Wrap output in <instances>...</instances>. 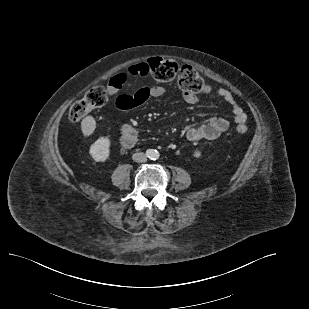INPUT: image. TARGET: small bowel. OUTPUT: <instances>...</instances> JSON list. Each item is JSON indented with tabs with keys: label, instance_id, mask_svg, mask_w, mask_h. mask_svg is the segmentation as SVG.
Listing matches in <instances>:
<instances>
[{
	"label": "small bowel",
	"instance_id": "c3829d8e",
	"mask_svg": "<svg viewBox=\"0 0 309 309\" xmlns=\"http://www.w3.org/2000/svg\"><path fill=\"white\" fill-rule=\"evenodd\" d=\"M149 74L147 63H139L123 70L112 76L107 85L110 95L117 94L134 77H144ZM168 90L160 85L142 86L133 94H123L118 96L116 106L123 112L136 108L153 98H159L167 94ZM219 97L227 103L234 115V121L237 124H244L246 114L242 107L236 102L233 94L225 88L217 90ZM184 100L189 104H195L198 97L192 93H183ZM229 128V121L223 117H212L207 122L188 129L186 136L190 141L214 140L220 137ZM137 131L130 124L123 125L121 129V144L124 148H131L137 143Z\"/></svg>",
	"mask_w": 309,
	"mask_h": 309
}]
</instances>
